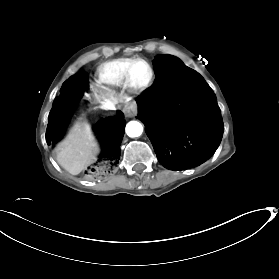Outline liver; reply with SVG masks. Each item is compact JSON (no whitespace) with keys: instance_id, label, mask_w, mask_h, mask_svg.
Wrapping results in <instances>:
<instances>
[{"instance_id":"liver-1","label":"liver","mask_w":279,"mask_h":279,"mask_svg":"<svg viewBox=\"0 0 279 279\" xmlns=\"http://www.w3.org/2000/svg\"><path fill=\"white\" fill-rule=\"evenodd\" d=\"M113 98V97H112ZM117 100L116 98H113ZM120 101L123 98H119ZM93 143L87 126L78 127L75 133L57 150L58 162L72 175L80 173L92 159Z\"/></svg>"}]
</instances>
